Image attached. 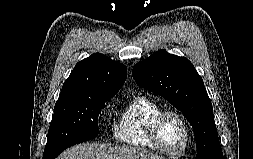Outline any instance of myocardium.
Returning a JSON list of instances; mask_svg holds the SVG:
<instances>
[{
	"instance_id": "1",
	"label": "myocardium",
	"mask_w": 253,
	"mask_h": 159,
	"mask_svg": "<svg viewBox=\"0 0 253 159\" xmlns=\"http://www.w3.org/2000/svg\"><path fill=\"white\" fill-rule=\"evenodd\" d=\"M168 115H173L176 118H178V120L182 123L183 127H184V131H185V140H184V144L181 147L180 150L176 151V152H171L168 151L167 149H165L159 139V127H160V123L163 120V118L165 116ZM190 127L188 122L186 121L185 117L179 113L178 111L172 110V109H162L159 112H157L153 118L150 121L149 124V138L152 142V144L154 145V147L156 149H158L160 152H162L163 154L167 155V156H171V157H178L183 155L190 143Z\"/></svg>"
}]
</instances>
